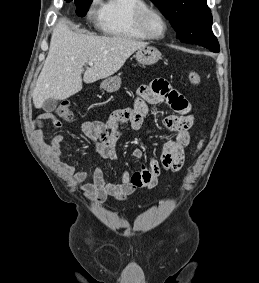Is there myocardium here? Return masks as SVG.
<instances>
[{"label": "myocardium", "mask_w": 259, "mask_h": 283, "mask_svg": "<svg viewBox=\"0 0 259 283\" xmlns=\"http://www.w3.org/2000/svg\"><path fill=\"white\" fill-rule=\"evenodd\" d=\"M152 17H158L164 23L165 31L161 36L154 35L150 30V20ZM138 24L147 38L155 41L163 40L167 36L170 28L169 20L165 14L160 9L149 6L140 11L138 15Z\"/></svg>", "instance_id": "1"}]
</instances>
